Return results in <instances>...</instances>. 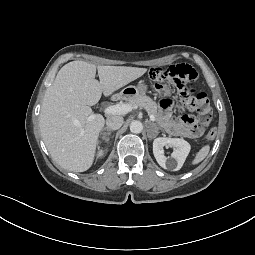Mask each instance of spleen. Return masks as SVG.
<instances>
[{"mask_svg":"<svg viewBox=\"0 0 255 255\" xmlns=\"http://www.w3.org/2000/svg\"><path fill=\"white\" fill-rule=\"evenodd\" d=\"M210 151V145H204L196 154L194 160L192 161L193 165H196L198 163H200L201 161H203L207 155L209 154Z\"/></svg>","mask_w":255,"mask_h":255,"instance_id":"3e777b00","label":"spleen"}]
</instances>
